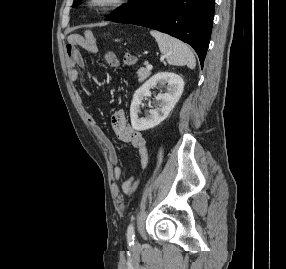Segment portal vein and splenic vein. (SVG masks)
Listing matches in <instances>:
<instances>
[{
  "label": "portal vein and splenic vein",
  "mask_w": 286,
  "mask_h": 269,
  "mask_svg": "<svg viewBox=\"0 0 286 269\" xmlns=\"http://www.w3.org/2000/svg\"><path fill=\"white\" fill-rule=\"evenodd\" d=\"M161 59H164V57H161ZM146 68H147L148 70H152V65L147 64V65H146Z\"/></svg>",
  "instance_id": "portal-vein-and-splenic-vein-1"
}]
</instances>
